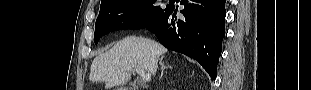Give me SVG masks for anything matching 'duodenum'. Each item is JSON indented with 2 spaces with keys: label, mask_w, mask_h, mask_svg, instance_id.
I'll list each match as a JSON object with an SVG mask.
<instances>
[{
  "label": "duodenum",
  "mask_w": 311,
  "mask_h": 90,
  "mask_svg": "<svg viewBox=\"0 0 311 90\" xmlns=\"http://www.w3.org/2000/svg\"><path fill=\"white\" fill-rule=\"evenodd\" d=\"M146 89L145 87H133L131 90H144Z\"/></svg>",
  "instance_id": "1"
}]
</instances>
